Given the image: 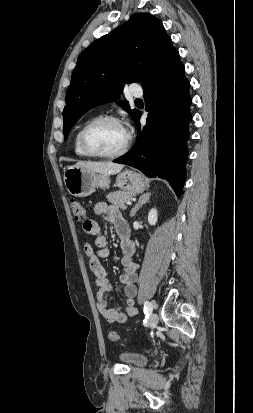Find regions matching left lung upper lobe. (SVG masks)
Returning <instances> with one entry per match:
<instances>
[{"mask_svg":"<svg viewBox=\"0 0 253 413\" xmlns=\"http://www.w3.org/2000/svg\"><path fill=\"white\" fill-rule=\"evenodd\" d=\"M175 50L162 22L149 13H137L108 35L91 43L78 57L63 110L64 140L74 123L91 108L119 98L125 84L152 81ZM136 60L146 63L136 66ZM133 120L138 110L119 102Z\"/></svg>","mask_w":253,"mask_h":413,"instance_id":"1","label":"left lung upper lobe"}]
</instances>
